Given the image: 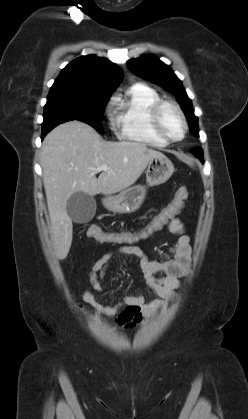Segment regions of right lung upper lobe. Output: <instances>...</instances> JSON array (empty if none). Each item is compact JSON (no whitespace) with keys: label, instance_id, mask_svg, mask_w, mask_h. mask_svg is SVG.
Returning <instances> with one entry per match:
<instances>
[{"label":"right lung upper lobe","instance_id":"1","mask_svg":"<svg viewBox=\"0 0 248 419\" xmlns=\"http://www.w3.org/2000/svg\"><path fill=\"white\" fill-rule=\"evenodd\" d=\"M123 72L116 64L96 55L79 57L70 62L51 89H70L95 94H111Z\"/></svg>","mask_w":248,"mask_h":419}]
</instances>
